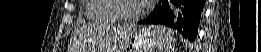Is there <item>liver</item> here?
I'll use <instances>...</instances> for the list:
<instances>
[{
	"label": "liver",
	"instance_id": "6515ba94",
	"mask_svg": "<svg viewBox=\"0 0 261 52\" xmlns=\"http://www.w3.org/2000/svg\"><path fill=\"white\" fill-rule=\"evenodd\" d=\"M131 27H111L107 28L103 33V47L107 50H111L113 47L116 48L118 45L120 46L122 39L127 35L130 31ZM102 50V44H101ZM104 50V48H103Z\"/></svg>",
	"mask_w": 261,
	"mask_h": 52
}]
</instances>
